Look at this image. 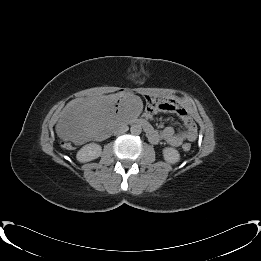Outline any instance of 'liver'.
Returning <instances> with one entry per match:
<instances>
[{
	"mask_svg": "<svg viewBox=\"0 0 261 261\" xmlns=\"http://www.w3.org/2000/svg\"><path fill=\"white\" fill-rule=\"evenodd\" d=\"M143 110L144 101L136 93L85 98L65 112L56 132L61 139L79 144L123 119L139 117Z\"/></svg>",
	"mask_w": 261,
	"mask_h": 261,
	"instance_id": "1",
	"label": "liver"
}]
</instances>
